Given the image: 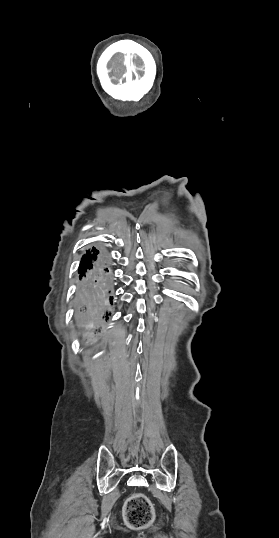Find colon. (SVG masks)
<instances>
[{"instance_id": "5ec220e1", "label": "colon", "mask_w": 279, "mask_h": 538, "mask_svg": "<svg viewBox=\"0 0 279 538\" xmlns=\"http://www.w3.org/2000/svg\"><path fill=\"white\" fill-rule=\"evenodd\" d=\"M124 518L131 528L147 526L153 519V507L149 499L141 493L132 495L125 503Z\"/></svg>"}]
</instances>
